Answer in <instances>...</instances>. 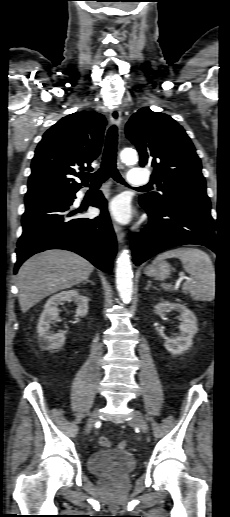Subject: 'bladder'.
<instances>
[{
    "mask_svg": "<svg viewBox=\"0 0 230 517\" xmlns=\"http://www.w3.org/2000/svg\"><path fill=\"white\" fill-rule=\"evenodd\" d=\"M136 467V458L125 451L105 449L90 455L88 468L99 476H124Z\"/></svg>",
    "mask_w": 230,
    "mask_h": 517,
    "instance_id": "31cf9c89",
    "label": "bladder"
}]
</instances>
